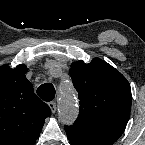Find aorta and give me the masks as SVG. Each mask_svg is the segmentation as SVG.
Instances as JSON below:
<instances>
[{
	"label": "aorta",
	"instance_id": "1",
	"mask_svg": "<svg viewBox=\"0 0 145 145\" xmlns=\"http://www.w3.org/2000/svg\"><path fill=\"white\" fill-rule=\"evenodd\" d=\"M59 120L63 124H72L78 116L74 94L70 89H61L58 100Z\"/></svg>",
	"mask_w": 145,
	"mask_h": 145
}]
</instances>
